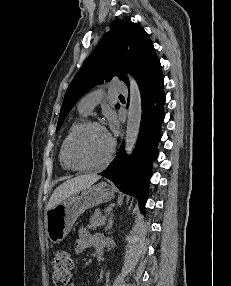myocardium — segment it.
<instances>
[{"mask_svg": "<svg viewBox=\"0 0 231 286\" xmlns=\"http://www.w3.org/2000/svg\"><path fill=\"white\" fill-rule=\"evenodd\" d=\"M90 127H97V128H101L103 130H106V128L99 122L94 121V120H88L85 122H82L79 126H77L72 132L71 134L68 136L66 143H65V147H64V161L66 166L70 169V170H74V171H86V170H91V169H95V168H99L104 166L105 164H107L110 159L112 158L114 152H115V148H116V143L114 138L109 134L110 139H111V145H110V149L108 151V153L106 154V156L101 159L98 162L95 163H91V164H86V165H77L75 164L72 159H71V155H70V150H71V146L72 143L74 141V139L84 130L90 128Z\"/></svg>", "mask_w": 231, "mask_h": 286, "instance_id": "myocardium-1", "label": "myocardium"}]
</instances>
